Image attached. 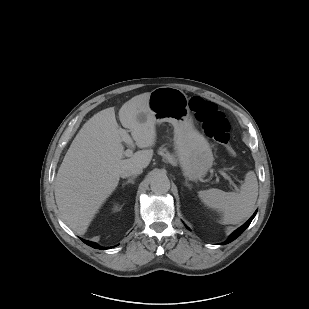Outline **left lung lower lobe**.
<instances>
[{"label": "left lung lower lobe", "mask_w": 309, "mask_h": 309, "mask_svg": "<svg viewBox=\"0 0 309 309\" xmlns=\"http://www.w3.org/2000/svg\"><path fill=\"white\" fill-rule=\"evenodd\" d=\"M256 215V212L251 216V218L243 225L241 226L240 228H238L231 236L230 238L225 241L224 243L222 244H227V243H230L232 242L233 240H235L239 235H241L243 233V231L250 225L251 221L253 220V218L255 217Z\"/></svg>", "instance_id": "1"}]
</instances>
